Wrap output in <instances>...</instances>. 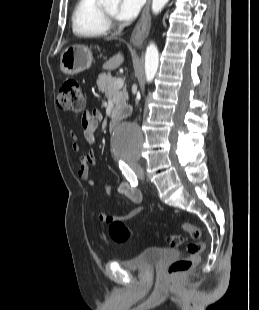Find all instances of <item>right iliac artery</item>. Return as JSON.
Returning a JSON list of instances; mask_svg holds the SVG:
<instances>
[{
    "label": "right iliac artery",
    "instance_id": "82829eb1",
    "mask_svg": "<svg viewBox=\"0 0 259 310\" xmlns=\"http://www.w3.org/2000/svg\"><path fill=\"white\" fill-rule=\"evenodd\" d=\"M119 168L132 186L138 185L137 176L127 164H125L123 161H120Z\"/></svg>",
    "mask_w": 259,
    "mask_h": 310
}]
</instances>
